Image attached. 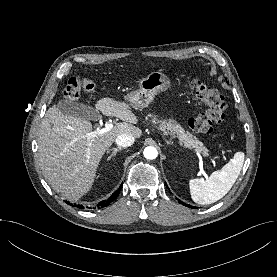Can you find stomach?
I'll return each mask as SVG.
<instances>
[{
    "label": "stomach",
    "instance_id": "0dacf381",
    "mask_svg": "<svg viewBox=\"0 0 277 277\" xmlns=\"http://www.w3.org/2000/svg\"><path fill=\"white\" fill-rule=\"evenodd\" d=\"M170 86L171 81L166 74L161 71L152 72L140 80L138 90L124 97L123 103L135 109H142L154 100L157 93L169 89Z\"/></svg>",
    "mask_w": 277,
    "mask_h": 277
}]
</instances>
